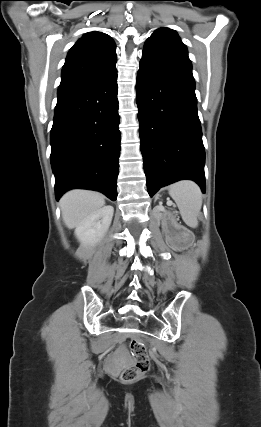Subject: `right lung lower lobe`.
Listing matches in <instances>:
<instances>
[{
  "instance_id": "right-lung-lower-lobe-1",
  "label": "right lung lower lobe",
  "mask_w": 261,
  "mask_h": 427,
  "mask_svg": "<svg viewBox=\"0 0 261 427\" xmlns=\"http://www.w3.org/2000/svg\"><path fill=\"white\" fill-rule=\"evenodd\" d=\"M118 125L117 70L58 93L50 134L57 200L73 188L117 199Z\"/></svg>"
}]
</instances>
